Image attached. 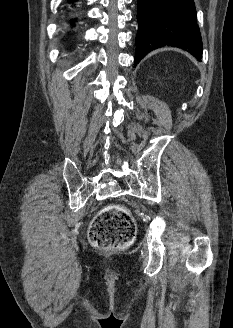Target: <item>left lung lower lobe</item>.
<instances>
[{
    "mask_svg": "<svg viewBox=\"0 0 233 328\" xmlns=\"http://www.w3.org/2000/svg\"><path fill=\"white\" fill-rule=\"evenodd\" d=\"M137 3L139 30L134 67L150 51L166 45L187 50L201 61L202 39L195 23L193 0H137Z\"/></svg>",
    "mask_w": 233,
    "mask_h": 328,
    "instance_id": "left-lung-lower-lobe-1",
    "label": "left lung lower lobe"
}]
</instances>
